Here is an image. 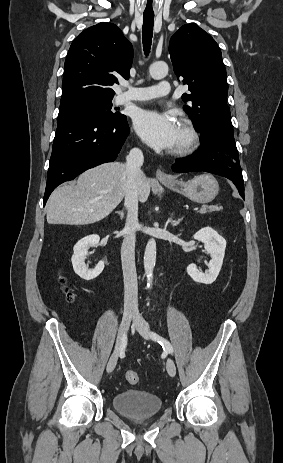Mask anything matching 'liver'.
Segmentation results:
<instances>
[{
  "label": "liver",
  "instance_id": "obj_1",
  "mask_svg": "<svg viewBox=\"0 0 283 463\" xmlns=\"http://www.w3.org/2000/svg\"><path fill=\"white\" fill-rule=\"evenodd\" d=\"M126 164L105 163L82 173L75 182L56 188L47 202L49 224L88 225L107 217L125 196ZM151 180L145 177L139 200L146 202Z\"/></svg>",
  "mask_w": 283,
  "mask_h": 463
}]
</instances>
